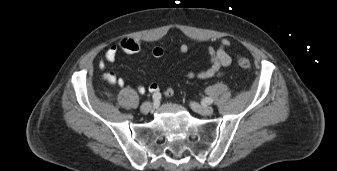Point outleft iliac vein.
<instances>
[{"mask_svg":"<svg viewBox=\"0 0 337 171\" xmlns=\"http://www.w3.org/2000/svg\"><path fill=\"white\" fill-rule=\"evenodd\" d=\"M191 108L198 114L208 116L213 114V108L210 106H202L199 105L198 103L192 102L191 103Z\"/></svg>","mask_w":337,"mask_h":171,"instance_id":"left-iliac-vein-1","label":"left iliac vein"}]
</instances>
